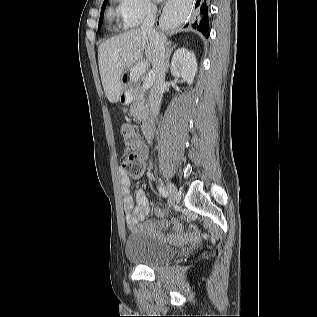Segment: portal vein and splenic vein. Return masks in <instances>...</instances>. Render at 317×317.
Returning a JSON list of instances; mask_svg holds the SVG:
<instances>
[{
	"mask_svg": "<svg viewBox=\"0 0 317 317\" xmlns=\"http://www.w3.org/2000/svg\"><path fill=\"white\" fill-rule=\"evenodd\" d=\"M153 80H154V72L150 71L146 77L145 82L143 83V88L149 89L151 85L153 84Z\"/></svg>",
	"mask_w": 317,
	"mask_h": 317,
	"instance_id": "1",
	"label": "portal vein and splenic vein"
}]
</instances>
